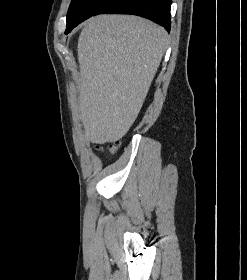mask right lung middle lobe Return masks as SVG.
<instances>
[{
    "label": "right lung middle lobe",
    "mask_w": 247,
    "mask_h": 280,
    "mask_svg": "<svg viewBox=\"0 0 247 280\" xmlns=\"http://www.w3.org/2000/svg\"><path fill=\"white\" fill-rule=\"evenodd\" d=\"M105 2L106 0H72L67 14V28L94 15Z\"/></svg>",
    "instance_id": "right-lung-middle-lobe-1"
}]
</instances>
